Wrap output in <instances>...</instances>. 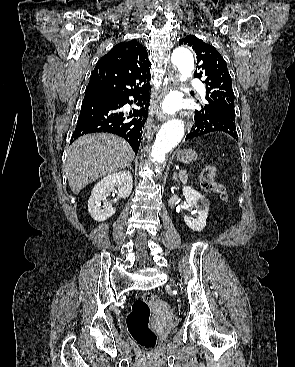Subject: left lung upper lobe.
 Here are the masks:
<instances>
[{"mask_svg":"<svg viewBox=\"0 0 295 367\" xmlns=\"http://www.w3.org/2000/svg\"><path fill=\"white\" fill-rule=\"evenodd\" d=\"M179 45H188L197 54V68L194 76L203 78L206 85V101L204 107H225L234 110V92L231 76L226 61L210 44H206L194 35L179 40Z\"/></svg>","mask_w":295,"mask_h":367,"instance_id":"left-lung-upper-lobe-1","label":"left lung upper lobe"}]
</instances>
